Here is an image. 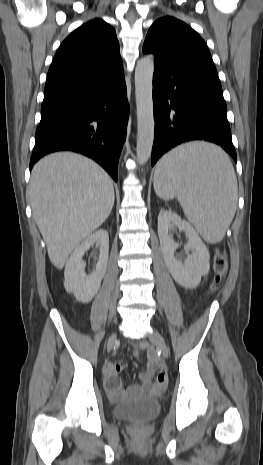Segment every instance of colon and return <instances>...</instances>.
Segmentation results:
<instances>
[{
  "label": "colon",
  "instance_id": "5ec220e1",
  "mask_svg": "<svg viewBox=\"0 0 263 465\" xmlns=\"http://www.w3.org/2000/svg\"><path fill=\"white\" fill-rule=\"evenodd\" d=\"M215 285L220 283L227 271V262L225 255L217 251L214 257Z\"/></svg>",
  "mask_w": 263,
  "mask_h": 465
}]
</instances>
